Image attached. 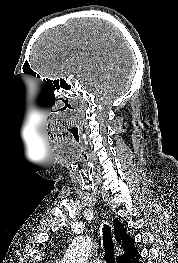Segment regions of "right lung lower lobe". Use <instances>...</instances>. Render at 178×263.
I'll return each mask as SVG.
<instances>
[{"mask_svg":"<svg viewBox=\"0 0 178 263\" xmlns=\"http://www.w3.org/2000/svg\"><path fill=\"white\" fill-rule=\"evenodd\" d=\"M139 259H140V254L138 253V251H136L130 257L123 260L122 263H141Z\"/></svg>","mask_w":178,"mask_h":263,"instance_id":"98d812e1","label":"right lung lower lobe"}]
</instances>
